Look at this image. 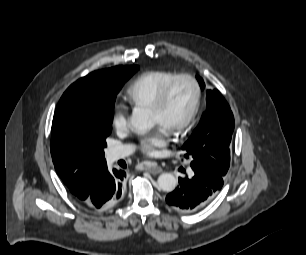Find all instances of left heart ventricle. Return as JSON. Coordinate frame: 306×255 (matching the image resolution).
Masks as SVG:
<instances>
[{
	"label": "left heart ventricle",
	"mask_w": 306,
	"mask_h": 255,
	"mask_svg": "<svg viewBox=\"0 0 306 255\" xmlns=\"http://www.w3.org/2000/svg\"><path fill=\"white\" fill-rule=\"evenodd\" d=\"M195 94V87L190 81L177 83L165 106L159 111H151L153 123L168 131L178 126L190 113Z\"/></svg>",
	"instance_id": "obj_1"
}]
</instances>
